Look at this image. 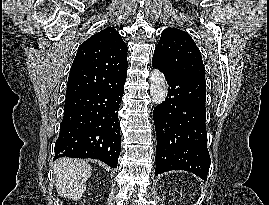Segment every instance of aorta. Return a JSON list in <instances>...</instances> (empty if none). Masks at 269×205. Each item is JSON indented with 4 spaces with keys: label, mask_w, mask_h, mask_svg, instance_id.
I'll use <instances>...</instances> for the list:
<instances>
[{
    "label": "aorta",
    "mask_w": 269,
    "mask_h": 205,
    "mask_svg": "<svg viewBox=\"0 0 269 205\" xmlns=\"http://www.w3.org/2000/svg\"><path fill=\"white\" fill-rule=\"evenodd\" d=\"M150 95L155 105L163 103L167 96L166 80L158 69H154L150 74Z\"/></svg>",
    "instance_id": "1"
}]
</instances>
